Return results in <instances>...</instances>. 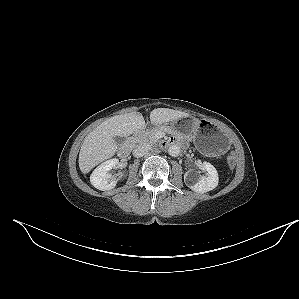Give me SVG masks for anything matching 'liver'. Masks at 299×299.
<instances>
[{
    "label": "liver",
    "instance_id": "obj_1",
    "mask_svg": "<svg viewBox=\"0 0 299 299\" xmlns=\"http://www.w3.org/2000/svg\"><path fill=\"white\" fill-rule=\"evenodd\" d=\"M188 116V113L178 110L157 108L151 111L150 121L153 125H161ZM145 126V120L140 112L116 115L102 122L83 141L79 153L81 172L88 173L116 153L118 147L114 140L115 136L128 137L135 132H142Z\"/></svg>",
    "mask_w": 299,
    "mask_h": 299
}]
</instances>
